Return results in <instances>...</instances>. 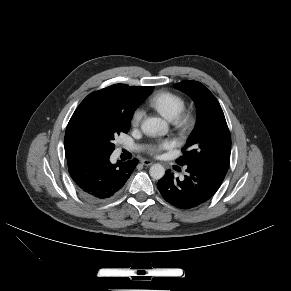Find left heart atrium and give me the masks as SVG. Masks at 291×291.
I'll return each mask as SVG.
<instances>
[{
	"label": "left heart atrium",
	"instance_id": "left-heart-atrium-1",
	"mask_svg": "<svg viewBox=\"0 0 291 291\" xmlns=\"http://www.w3.org/2000/svg\"><path fill=\"white\" fill-rule=\"evenodd\" d=\"M172 147V142L169 140H163L153 143L149 146V152L152 154H157L162 150Z\"/></svg>",
	"mask_w": 291,
	"mask_h": 291
}]
</instances>
